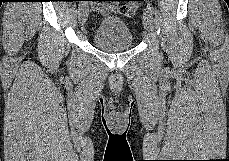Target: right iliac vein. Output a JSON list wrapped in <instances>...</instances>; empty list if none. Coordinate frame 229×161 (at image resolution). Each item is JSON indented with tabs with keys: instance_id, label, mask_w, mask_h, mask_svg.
<instances>
[{
	"instance_id": "right-iliac-vein-1",
	"label": "right iliac vein",
	"mask_w": 229,
	"mask_h": 161,
	"mask_svg": "<svg viewBox=\"0 0 229 161\" xmlns=\"http://www.w3.org/2000/svg\"><path fill=\"white\" fill-rule=\"evenodd\" d=\"M78 15H79L80 24L81 26H83L86 23L89 15V8L87 4L85 3L80 4L78 8Z\"/></svg>"
}]
</instances>
